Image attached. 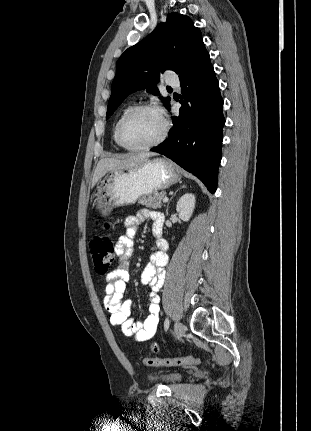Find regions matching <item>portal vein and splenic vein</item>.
<instances>
[{
	"label": "portal vein and splenic vein",
	"mask_w": 311,
	"mask_h": 431,
	"mask_svg": "<svg viewBox=\"0 0 311 431\" xmlns=\"http://www.w3.org/2000/svg\"><path fill=\"white\" fill-rule=\"evenodd\" d=\"M169 198H163L162 202H164V204H166V202H168Z\"/></svg>",
	"instance_id": "1"
}]
</instances>
